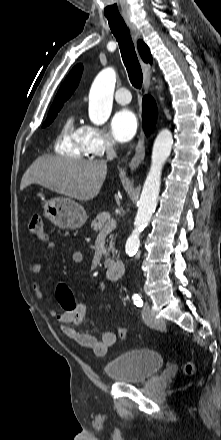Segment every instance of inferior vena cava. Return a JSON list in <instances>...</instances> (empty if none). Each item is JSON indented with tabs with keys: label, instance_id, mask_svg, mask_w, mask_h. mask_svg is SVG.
I'll return each mask as SVG.
<instances>
[{
	"label": "inferior vena cava",
	"instance_id": "602c4592",
	"mask_svg": "<svg viewBox=\"0 0 221 440\" xmlns=\"http://www.w3.org/2000/svg\"><path fill=\"white\" fill-rule=\"evenodd\" d=\"M116 157V152L113 147V143L107 146V160H113Z\"/></svg>",
	"mask_w": 221,
	"mask_h": 440
}]
</instances>
